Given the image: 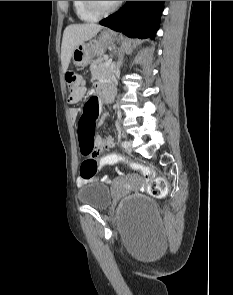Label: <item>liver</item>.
<instances>
[{
    "instance_id": "obj_1",
    "label": "liver",
    "mask_w": 233,
    "mask_h": 295,
    "mask_svg": "<svg viewBox=\"0 0 233 295\" xmlns=\"http://www.w3.org/2000/svg\"><path fill=\"white\" fill-rule=\"evenodd\" d=\"M102 28L103 26L94 23L71 24L65 28L61 46V63L64 73L68 69L73 50L79 44L93 38Z\"/></svg>"
}]
</instances>
